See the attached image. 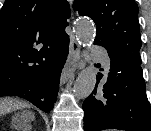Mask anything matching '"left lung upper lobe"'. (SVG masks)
<instances>
[{"instance_id": "left-lung-upper-lobe-1", "label": "left lung upper lobe", "mask_w": 151, "mask_h": 131, "mask_svg": "<svg viewBox=\"0 0 151 131\" xmlns=\"http://www.w3.org/2000/svg\"><path fill=\"white\" fill-rule=\"evenodd\" d=\"M73 8L93 19L97 28L94 42L105 47L112 60L141 65L142 42L134 0H75Z\"/></svg>"}]
</instances>
